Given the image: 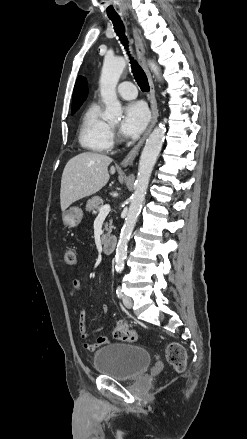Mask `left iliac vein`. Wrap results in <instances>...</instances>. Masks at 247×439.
I'll list each match as a JSON object with an SVG mask.
<instances>
[{
  "instance_id": "obj_1",
  "label": "left iliac vein",
  "mask_w": 247,
  "mask_h": 439,
  "mask_svg": "<svg viewBox=\"0 0 247 439\" xmlns=\"http://www.w3.org/2000/svg\"><path fill=\"white\" fill-rule=\"evenodd\" d=\"M122 300H123V304L125 305V307H127L129 309L132 308L133 301L129 296L124 295Z\"/></svg>"
}]
</instances>
